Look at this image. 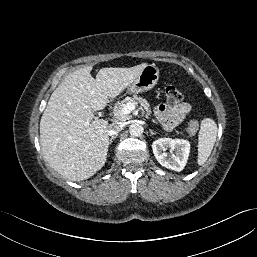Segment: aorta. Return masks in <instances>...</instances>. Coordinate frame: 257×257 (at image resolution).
<instances>
[{
    "instance_id": "1",
    "label": "aorta",
    "mask_w": 257,
    "mask_h": 257,
    "mask_svg": "<svg viewBox=\"0 0 257 257\" xmlns=\"http://www.w3.org/2000/svg\"><path fill=\"white\" fill-rule=\"evenodd\" d=\"M143 126L138 122H133L129 127V132L131 136L138 137L143 133Z\"/></svg>"
}]
</instances>
